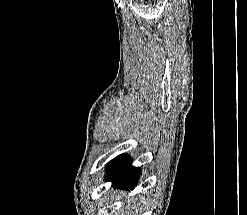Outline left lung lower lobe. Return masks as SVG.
<instances>
[{
  "mask_svg": "<svg viewBox=\"0 0 247 215\" xmlns=\"http://www.w3.org/2000/svg\"><path fill=\"white\" fill-rule=\"evenodd\" d=\"M107 181H112L114 187L133 188L139 178L140 169L131 166L128 155H120L108 163Z\"/></svg>",
  "mask_w": 247,
  "mask_h": 215,
  "instance_id": "obj_1",
  "label": "left lung lower lobe"
}]
</instances>
